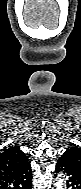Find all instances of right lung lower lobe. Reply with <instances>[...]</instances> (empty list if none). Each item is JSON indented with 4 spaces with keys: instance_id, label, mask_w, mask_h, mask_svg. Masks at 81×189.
<instances>
[{
    "instance_id": "98d812e1",
    "label": "right lung lower lobe",
    "mask_w": 81,
    "mask_h": 189,
    "mask_svg": "<svg viewBox=\"0 0 81 189\" xmlns=\"http://www.w3.org/2000/svg\"><path fill=\"white\" fill-rule=\"evenodd\" d=\"M32 171L30 161L16 169L0 175V189H32Z\"/></svg>"
}]
</instances>
